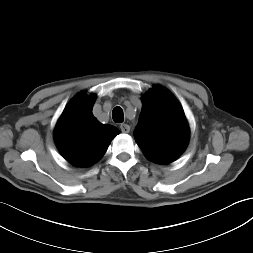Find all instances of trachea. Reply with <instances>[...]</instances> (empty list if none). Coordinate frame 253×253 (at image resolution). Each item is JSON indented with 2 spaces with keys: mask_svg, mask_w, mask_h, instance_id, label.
I'll return each mask as SVG.
<instances>
[{
  "mask_svg": "<svg viewBox=\"0 0 253 253\" xmlns=\"http://www.w3.org/2000/svg\"><path fill=\"white\" fill-rule=\"evenodd\" d=\"M112 118L116 123H122L124 121L123 110L117 106L112 111Z\"/></svg>",
  "mask_w": 253,
  "mask_h": 253,
  "instance_id": "trachea-1",
  "label": "trachea"
}]
</instances>
